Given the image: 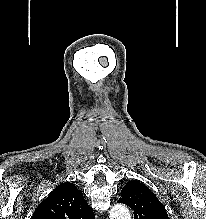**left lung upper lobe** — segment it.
<instances>
[{
    "label": "left lung upper lobe",
    "instance_id": "obj_1",
    "mask_svg": "<svg viewBox=\"0 0 206 219\" xmlns=\"http://www.w3.org/2000/svg\"><path fill=\"white\" fill-rule=\"evenodd\" d=\"M118 202L133 209L134 219H169L155 194L138 181H129L123 187Z\"/></svg>",
    "mask_w": 206,
    "mask_h": 219
}]
</instances>
